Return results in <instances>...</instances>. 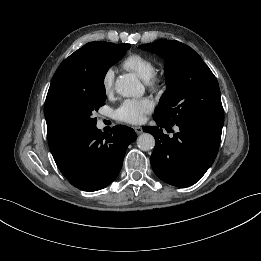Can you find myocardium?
Segmentation results:
<instances>
[{"label": "myocardium", "instance_id": "obj_1", "mask_svg": "<svg viewBox=\"0 0 261 261\" xmlns=\"http://www.w3.org/2000/svg\"><path fill=\"white\" fill-rule=\"evenodd\" d=\"M148 88L155 90L160 87L161 79L159 75L155 72L148 80H146Z\"/></svg>", "mask_w": 261, "mask_h": 261}]
</instances>
